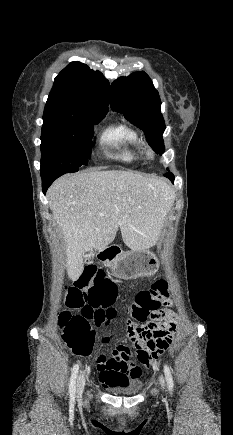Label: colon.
<instances>
[{
  "label": "colon",
  "instance_id": "5ec220e1",
  "mask_svg": "<svg viewBox=\"0 0 233 435\" xmlns=\"http://www.w3.org/2000/svg\"><path fill=\"white\" fill-rule=\"evenodd\" d=\"M110 280L111 278L103 269L88 266L84 268L74 284L66 288L67 306L80 310L77 314L64 312L61 316L62 338L72 353L78 355L91 353L95 345V329L108 325L115 318L116 311L112 307L115 297L97 293L85 298L82 293V290L93 282L104 284L109 283ZM169 290L168 281L160 279L152 283L149 288L139 291L130 306L131 315L144 322L155 317ZM173 330L174 326L171 325L156 329L149 324L136 325L129 319L127 320L128 342L113 344L108 349L111 353L120 354L125 365L129 366L136 360L149 367L171 343ZM142 341H146L147 349L142 347ZM105 357L104 354H100L97 360L101 361Z\"/></svg>",
  "mask_w": 233,
  "mask_h": 435
}]
</instances>
